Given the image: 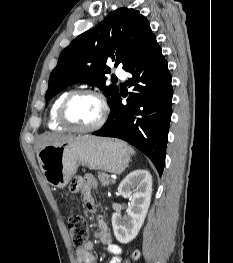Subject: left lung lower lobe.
Instances as JSON below:
<instances>
[{"mask_svg":"<svg viewBox=\"0 0 233 263\" xmlns=\"http://www.w3.org/2000/svg\"><path fill=\"white\" fill-rule=\"evenodd\" d=\"M125 71L132 75L128 85L133 87L127 104H122L119 94L106 123L93 135L115 137L132 144L150 158L161 176L173 90L168 65L156 38Z\"/></svg>","mask_w":233,"mask_h":263,"instance_id":"0a47b994","label":"left lung lower lobe"}]
</instances>
